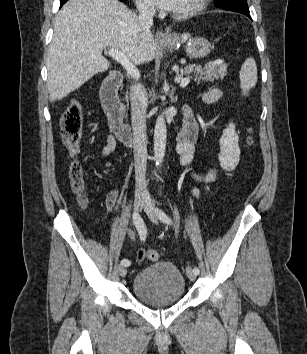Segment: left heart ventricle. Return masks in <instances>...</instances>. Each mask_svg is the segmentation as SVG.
<instances>
[{
    "label": "left heart ventricle",
    "mask_w": 307,
    "mask_h": 354,
    "mask_svg": "<svg viewBox=\"0 0 307 354\" xmlns=\"http://www.w3.org/2000/svg\"><path fill=\"white\" fill-rule=\"evenodd\" d=\"M194 1L195 0H178L177 5L173 11L182 12L188 9L194 3Z\"/></svg>",
    "instance_id": "left-heart-ventricle-1"
}]
</instances>
